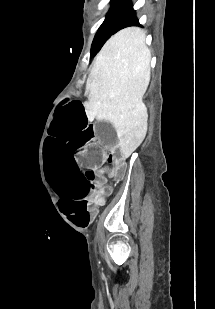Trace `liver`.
I'll return each instance as SVG.
<instances>
[{"mask_svg": "<svg viewBox=\"0 0 215 309\" xmlns=\"http://www.w3.org/2000/svg\"><path fill=\"white\" fill-rule=\"evenodd\" d=\"M145 30L128 26L113 34L96 54L87 78V114L112 122L123 157L144 140L147 108L142 100L150 80L151 52Z\"/></svg>", "mask_w": 215, "mask_h": 309, "instance_id": "6515ba94", "label": "liver"}]
</instances>
